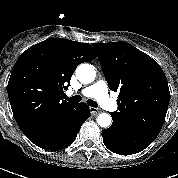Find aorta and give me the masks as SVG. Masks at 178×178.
<instances>
[{"mask_svg":"<svg viewBox=\"0 0 178 178\" xmlns=\"http://www.w3.org/2000/svg\"><path fill=\"white\" fill-rule=\"evenodd\" d=\"M76 77L83 84L93 82L96 77L95 67L87 63L80 64L76 69ZM97 123L99 126L107 128L111 125L112 118L109 114L102 113L97 117Z\"/></svg>","mask_w":178,"mask_h":178,"instance_id":"obj_1","label":"aorta"}]
</instances>
